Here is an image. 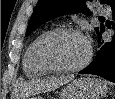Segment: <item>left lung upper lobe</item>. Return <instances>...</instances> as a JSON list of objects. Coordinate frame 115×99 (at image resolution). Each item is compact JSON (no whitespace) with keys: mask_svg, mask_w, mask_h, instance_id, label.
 <instances>
[{"mask_svg":"<svg viewBox=\"0 0 115 99\" xmlns=\"http://www.w3.org/2000/svg\"><path fill=\"white\" fill-rule=\"evenodd\" d=\"M90 1L92 0H38L28 24L26 36L41 24L61 15L83 13L90 16L91 12L88 9ZM101 3L108 4L112 8L115 5V0H102ZM103 29L104 26L101 25L100 29L96 28V32L101 33Z\"/></svg>","mask_w":115,"mask_h":99,"instance_id":"obj_1","label":"left lung upper lobe"}]
</instances>
